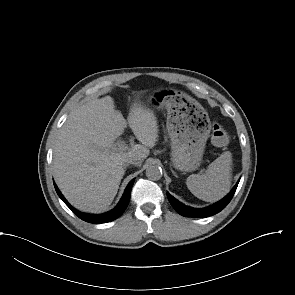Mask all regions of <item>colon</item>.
Segmentation results:
<instances>
[{
    "label": "colon",
    "mask_w": 295,
    "mask_h": 295,
    "mask_svg": "<svg viewBox=\"0 0 295 295\" xmlns=\"http://www.w3.org/2000/svg\"><path fill=\"white\" fill-rule=\"evenodd\" d=\"M212 141L216 146H225L229 141L227 131L219 124H214L212 128Z\"/></svg>",
    "instance_id": "colon-1"
}]
</instances>
